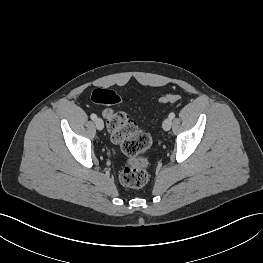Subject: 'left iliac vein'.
<instances>
[{"label":"left iliac vein","mask_w":263,"mask_h":263,"mask_svg":"<svg viewBox=\"0 0 263 263\" xmlns=\"http://www.w3.org/2000/svg\"><path fill=\"white\" fill-rule=\"evenodd\" d=\"M163 129L165 131H168L170 130L171 126H172V119L171 118H166L164 121H163Z\"/></svg>","instance_id":"1"}]
</instances>
